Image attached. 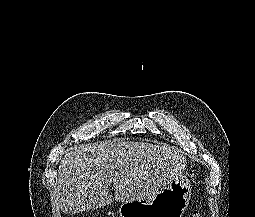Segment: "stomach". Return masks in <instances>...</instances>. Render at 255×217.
<instances>
[{
  "instance_id": "0dacf381",
  "label": "stomach",
  "mask_w": 255,
  "mask_h": 217,
  "mask_svg": "<svg viewBox=\"0 0 255 217\" xmlns=\"http://www.w3.org/2000/svg\"><path fill=\"white\" fill-rule=\"evenodd\" d=\"M191 197L190 181L179 176L152 198L123 202L120 217H182Z\"/></svg>"
}]
</instances>
